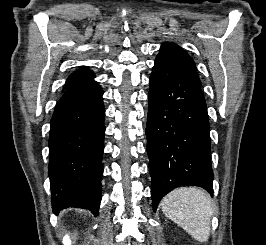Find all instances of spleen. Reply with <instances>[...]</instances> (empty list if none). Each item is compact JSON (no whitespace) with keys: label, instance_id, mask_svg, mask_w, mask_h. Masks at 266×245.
<instances>
[{"label":"spleen","instance_id":"spleen-1","mask_svg":"<svg viewBox=\"0 0 266 245\" xmlns=\"http://www.w3.org/2000/svg\"><path fill=\"white\" fill-rule=\"evenodd\" d=\"M161 209L178 227L199 243H207L210 237L212 205L202 189L181 187L162 199Z\"/></svg>","mask_w":266,"mask_h":245}]
</instances>
